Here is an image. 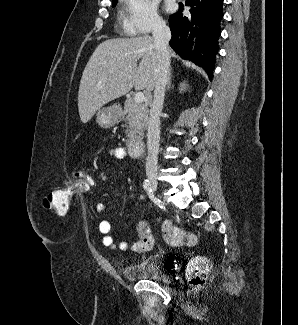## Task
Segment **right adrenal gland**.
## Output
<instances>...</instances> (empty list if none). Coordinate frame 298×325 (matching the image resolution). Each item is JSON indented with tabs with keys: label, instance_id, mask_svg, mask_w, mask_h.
<instances>
[{
	"label": "right adrenal gland",
	"instance_id": "obj_1",
	"mask_svg": "<svg viewBox=\"0 0 298 325\" xmlns=\"http://www.w3.org/2000/svg\"><path fill=\"white\" fill-rule=\"evenodd\" d=\"M171 74H172V72H171V70H169L168 80H167V86H166L167 90L171 86Z\"/></svg>",
	"mask_w": 298,
	"mask_h": 325
}]
</instances>
